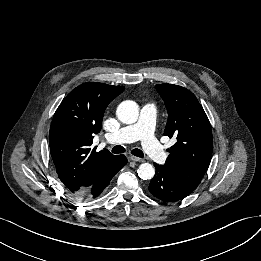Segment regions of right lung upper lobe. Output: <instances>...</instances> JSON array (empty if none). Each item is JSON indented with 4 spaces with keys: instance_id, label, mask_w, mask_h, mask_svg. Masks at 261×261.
I'll return each instance as SVG.
<instances>
[{
    "instance_id": "cb5924a9",
    "label": "right lung upper lobe",
    "mask_w": 261,
    "mask_h": 261,
    "mask_svg": "<svg viewBox=\"0 0 261 261\" xmlns=\"http://www.w3.org/2000/svg\"><path fill=\"white\" fill-rule=\"evenodd\" d=\"M124 91L123 86L87 82L72 90L56 110L49 132L50 152L59 179L68 191L78 194L91 186L100 169L114 155L92 148L101 130L108 104Z\"/></svg>"
}]
</instances>
